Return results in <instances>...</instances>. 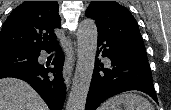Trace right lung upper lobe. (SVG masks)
<instances>
[{
  "mask_svg": "<svg viewBox=\"0 0 171 110\" xmlns=\"http://www.w3.org/2000/svg\"><path fill=\"white\" fill-rule=\"evenodd\" d=\"M57 1H25L15 8L0 32V49L17 48L40 52L55 45L60 28Z\"/></svg>",
  "mask_w": 171,
  "mask_h": 110,
  "instance_id": "obj_1",
  "label": "right lung upper lobe"
}]
</instances>
